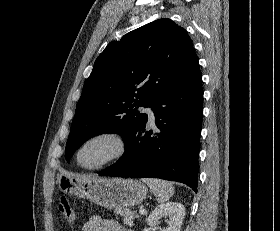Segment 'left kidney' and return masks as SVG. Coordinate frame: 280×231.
<instances>
[{
	"label": "left kidney",
	"mask_w": 280,
	"mask_h": 231,
	"mask_svg": "<svg viewBox=\"0 0 280 231\" xmlns=\"http://www.w3.org/2000/svg\"><path fill=\"white\" fill-rule=\"evenodd\" d=\"M184 213L183 203L167 201V203H161V205L155 207L146 221L151 227H156L160 221H166L168 223L167 227H157V229H160V231H180Z\"/></svg>",
	"instance_id": "obj_1"
}]
</instances>
